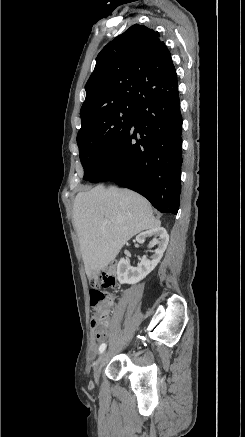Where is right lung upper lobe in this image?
<instances>
[{
	"instance_id": "cb5924a9",
	"label": "right lung upper lobe",
	"mask_w": 245,
	"mask_h": 437,
	"mask_svg": "<svg viewBox=\"0 0 245 437\" xmlns=\"http://www.w3.org/2000/svg\"><path fill=\"white\" fill-rule=\"evenodd\" d=\"M177 87L171 54L160 34L135 24L98 54L95 69L85 85L86 98L80 110L82 123L106 107L136 105Z\"/></svg>"
}]
</instances>
